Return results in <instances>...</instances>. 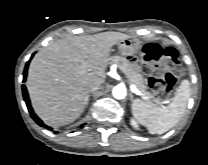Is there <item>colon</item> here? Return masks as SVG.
<instances>
[{
	"label": "colon",
	"instance_id": "colon-1",
	"mask_svg": "<svg viewBox=\"0 0 208 165\" xmlns=\"http://www.w3.org/2000/svg\"><path fill=\"white\" fill-rule=\"evenodd\" d=\"M142 70L149 74L150 87L160 96L169 95L182 71L179 54L172 47L162 48L157 44H146L142 50Z\"/></svg>",
	"mask_w": 208,
	"mask_h": 165
}]
</instances>
